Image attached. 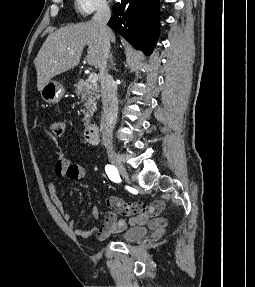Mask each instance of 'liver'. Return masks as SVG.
I'll return each mask as SVG.
<instances>
[{"label":"liver","instance_id":"liver-1","mask_svg":"<svg viewBox=\"0 0 255 287\" xmlns=\"http://www.w3.org/2000/svg\"><path fill=\"white\" fill-rule=\"evenodd\" d=\"M111 40L115 42L114 34ZM85 46H88L87 64L99 68L103 40L98 24L94 22L71 24L49 34L34 60L38 92H41L45 84L58 74L78 66Z\"/></svg>","mask_w":255,"mask_h":287}]
</instances>
